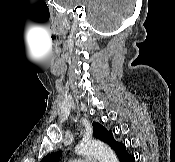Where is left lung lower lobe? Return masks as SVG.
Here are the masks:
<instances>
[{
    "label": "left lung lower lobe",
    "instance_id": "left-lung-lower-lobe-1",
    "mask_svg": "<svg viewBox=\"0 0 175 162\" xmlns=\"http://www.w3.org/2000/svg\"><path fill=\"white\" fill-rule=\"evenodd\" d=\"M112 148L116 152L120 162H135L134 156L130 155L126 151L125 144L121 142H115Z\"/></svg>",
    "mask_w": 175,
    "mask_h": 162
}]
</instances>
